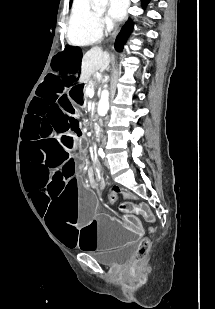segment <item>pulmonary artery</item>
Here are the masks:
<instances>
[{
    "label": "pulmonary artery",
    "instance_id": "obj_1",
    "mask_svg": "<svg viewBox=\"0 0 215 309\" xmlns=\"http://www.w3.org/2000/svg\"><path fill=\"white\" fill-rule=\"evenodd\" d=\"M74 2L73 9L75 11V16H86L89 0H74Z\"/></svg>",
    "mask_w": 215,
    "mask_h": 309
}]
</instances>
